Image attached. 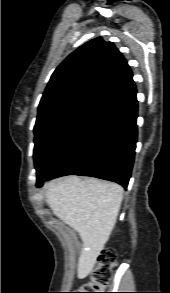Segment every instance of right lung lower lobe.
I'll use <instances>...</instances> for the list:
<instances>
[{
  "label": "right lung lower lobe",
  "instance_id": "right-lung-lower-lobe-1",
  "mask_svg": "<svg viewBox=\"0 0 170 293\" xmlns=\"http://www.w3.org/2000/svg\"><path fill=\"white\" fill-rule=\"evenodd\" d=\"M137 110L136 92L108 107L37 187L63 175L92 176L127 187L137 142Z\"/></svg>",
  "mask_w": 170,
  "mask_h": 293
}]
</instances>
